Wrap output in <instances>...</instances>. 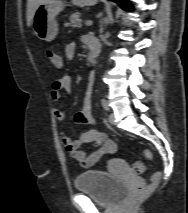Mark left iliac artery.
Segmentation results:
<instances>
[{
	"label": "left iliac artery",
	"mask_w": 188,
	"mask_h": 213,
	"mask_svg": "<svg viewBox=\"0 0 188 213\" xmlns=\"http://www.w3.org/2000/svg\"><path fill=\"white\" fill-rule=\"evenodd\" d=\"M101 104H102V107H103L106 111L109 110L108 102H107L105 99H102V100H101Z\"/></svg>",
	"instance_id": "44dca946"
}]
</instances>
